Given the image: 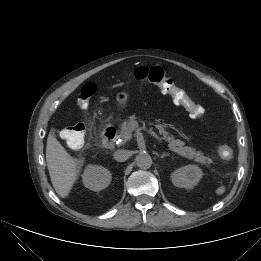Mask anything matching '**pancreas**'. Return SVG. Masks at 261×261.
Masks as SVG:
<instances>
[{
  "label": "pancreas",
  "instance_id": "obj_1",
  "mask_svg": "<svg viewBox=\"0 0 261 261\" xmlns=\"http://www.w3.org/2000/svg\"><path fill=\"white\" fill-rule=\"evenodd\" d=\"M136 119L137 117L133 115L130 117L129 120L122 123L120 129V137L123 139L124 142L131 139L132 132L137 127ZM156 128L159 130V134L162 136V139H164L168 143V147L171 151L187 159H194L195 162H199L208 168L211 167V165L213 164L212 159L204 156L201 151H197L194 148L184 146L185 143L183 141L175 139V137L170 135V133L167 132L161 124H156ZM211 170L213 169L211 168Z\"/></svg>",
  "mask_w": 261,
  "mask_h": 261
}]
</instances>
